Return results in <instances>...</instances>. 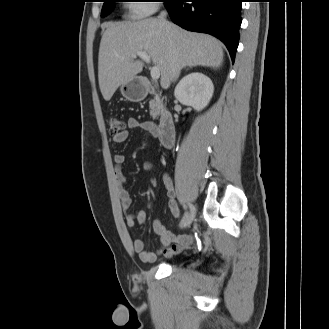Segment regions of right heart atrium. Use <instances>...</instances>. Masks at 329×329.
Returning a JSON list of instances; mask_svg holds the SVG:
<instances>
[{"instance_id":"d8ad5b80","label":"right heart atrium","mask_w":329,"mask_h":329,"mask_svg":"<svg viewBox=\"0 0 329 329\" xmlns=\"http://www.w3.org/2000/svg\"><path fill=\"white\" fill-rule=\"evenodd\" d=\"M128 11L133 18H141L151 15L157 10L156 0H131Z\"/></svg>"}]
</instances>
